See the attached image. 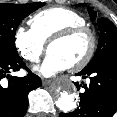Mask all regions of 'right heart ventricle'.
I'll return each mask as SVG.
<instances>
[{
	"label": "right heart ventricle",
	"instance_id": "e07e8e85",
	"mask_svg": "<svg viewBox=\"0 0 117 117\" xmlns=\"http://www.w3.org/2000/svg\"><path fill=\"white\" fill-rule=\"evenodd\" d=\"M33 32L44 43L67 28L86 25L85 18L75 10L56 6L41 10L29 19Z\"/></svg>",
	"mask_w": 117,
	"mask_h": 117
}]
</instances>
